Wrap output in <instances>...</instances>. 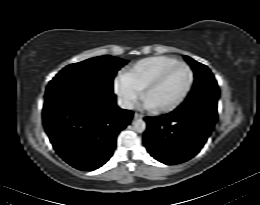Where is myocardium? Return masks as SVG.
<instances>
[{
    "label": "myocardium",
    "mask_w": 260,
    "mask_h": 205,
    "mask_svg": "<svg viewBox=\"0 0 260 205\" xmlns=\"http://www.w3.org/2000/svg\"><path fill=\"white\" fill-rule=\"evenodd\" d=\"M176 66H183L188 70L189 82H188L185 90L183 91V93L174 102H172L168 105L155 107V110L158 112H169V111H173L176 108H178L185 101V99L187 98V96L189 95V93L193 87V84L195 81V74H194L193 69L186 62L177 61L175 63L169 64L166 67L162 68L149 80V82L143 88V92H142L143 99L146 100V96H147L148 92L164 77V75L169 70H171L173 67H176Z\"/></svg>",
    "instance_id": "1"
}]
</instances>
